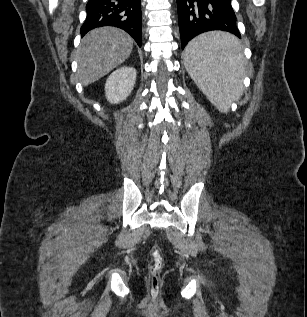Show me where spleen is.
<instances>
[{
  "label": "spleen",
  "mask_w": 307,
  "mask_h": 317,
  "mask_svg": "<svg viewBox=\"0 0 307 317\" xmlns=\"http://www.w3.org/2000/svg\"><path fill=\"white\" fill-rule=\"evenodd\" d=\"M243 43L228 33L202 34L187 45L185 67L198 88L221 112L242 95Z\"/></svg>",
  "instance_id": "spleen-1"
}]
</instances>
